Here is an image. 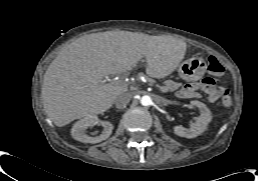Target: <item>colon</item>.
<instances>
[{
    "label": "colon",
    "mask_w": 258,
    "mask_h": 181,
    "mask_svg": "<svg viewBox=\"0 0 258 181\" xmlns=\"http://www.w3.org/2000/svg\"><path fill=\"white\" fill-rule=\"evenodd\" d=\"M208 71L213 75L220 76L224 73V67L214 57H210L208 60ZM222 105L229 107L232 104V97L228 88H223Z\"/></svg>",
    "instance_id": "1"
}]
</instances>
